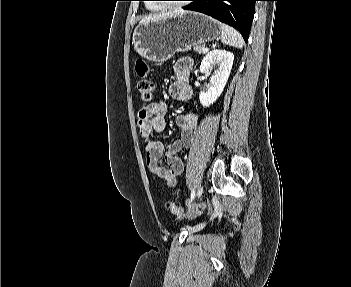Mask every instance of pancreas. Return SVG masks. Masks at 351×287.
<instances>
[{"label": "pancreas", "mask_w": 351, "mask_h": 287, "mask_svg": "<svg viewBox=\"0 0 351 287\" xmlns=\"http://www.w3.org/2000/svg\"><path fill=\"white\" fill-rule=\"evenodd\" d=\"M204 47H205V45H203V44H197V43L193 44V49L195 51H197L198 53L204 52L203 51Z\"/></svg>", "instance_id": "pancreas-1"}]
</instances>
